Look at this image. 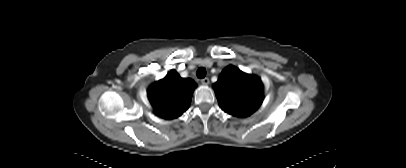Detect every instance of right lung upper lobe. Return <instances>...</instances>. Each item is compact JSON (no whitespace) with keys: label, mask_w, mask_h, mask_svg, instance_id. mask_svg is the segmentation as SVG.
Wrapping results in <instances>:
<instances>
[{"label":"right lung upper lobe","mask_w":406,"mask_h":168,"mask_svg":"<svg viewBox=\"0 0 406 168\" xmlns=\"http://www.w3.org/2000/svg\"><path fill=\"white\" fill-rule=\"evenodd\" d=\"M195 88L196 83L192 79L181 78L172 70L164 79L150 86L148 98L156 115L164 119H174L189 108Z\"/></svg>","instance_id":"obj_1"}]
</instances>
